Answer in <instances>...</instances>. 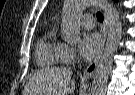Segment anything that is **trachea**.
<instances>
[{
    "mask_svg": "<svg viewBox=\"0 0 135 95\" xmlns=\"http://www.w3.org/2000/svg\"><path fill=\"white\" fill-rule=\"evenodd\" d=\"M97 19L99 22H101V23L103 22L104 17H103V14L101 12H97Z\"/></svg>",
    "mask_w": 135,
    "mask_h": 95,
    "instance_id": "3493384b",
    "label": "trachea"
}]
</instances>
